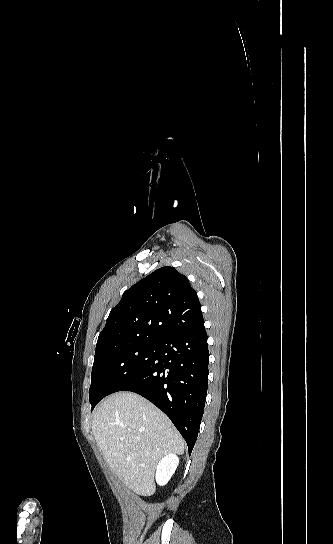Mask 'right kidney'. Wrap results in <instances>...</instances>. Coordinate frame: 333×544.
<instances>
[{"label": "right kidney", "instance_id": "ca27d5eb", "mask_svg": "<svg viewBox=\"0 0 333 544\" xmlns=\"http://www.w3.org/2000/svg\"><path fill=\"white\" fill-rule=\"evenodd\" d=\"M179 458L175 454H169L163 457L156 467V482L158 485L164 486L171 479L177 466Z\"/></svg>", "mask_w": 333, "mask_h": 544}]
</instances>
